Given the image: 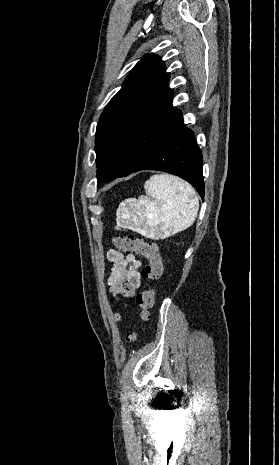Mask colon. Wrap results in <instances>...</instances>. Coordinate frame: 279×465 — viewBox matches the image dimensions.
I'll return each mask as SVG.
<instances>
[{"label":"colon","mask_w":279,"mask_h":465,"mask_svg":"<svg viewBox=\"0 0 279 465\" xmlns=\"http://www.w3.org/2000/svg\"><path fill=\"white\" fill-rule=\"evenodd\" d=\"M113 243L116 248L124 252L141 255L147 259L148 264L141 272L144 278L155 281L161 277L163 263L156 243L145 241L143 238L133 234L115 237ZM154 299L155 291L153 289L145 290L136 296V304L141 308L142 320L147 321L149 319V310L154 305ZM126 339L128 342H134L137 340V334L131 332L127 335Z\"/></svg>","instance_id":"5ec220e1"}]
</instances>
